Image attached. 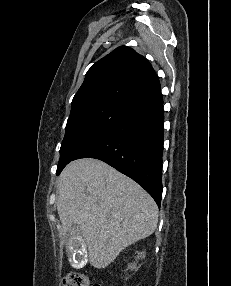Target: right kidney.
I'll return each instance as SVG.
<instances>
[{
  "label": "right kidney",
  "mask_w": 231,
  "mask_h": 286,
  "mask_svg": "<svg viewBox=\"0 0 231 286\" xmlns=\"http://www.w3.org/2000/svg\"><path fill=\"white\" fill-rule=\"evenodd\" d=\"M142 259V258H145V252H140V253H138V255H137V259ZM136 265H137V263H130L129 265H128V269H131V270H133V269H136L137 267H136Z\"/></svg>",
  "instance_id": "ca27d5eb"
}]
</instances>
